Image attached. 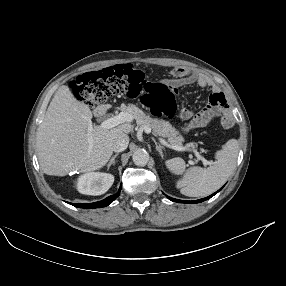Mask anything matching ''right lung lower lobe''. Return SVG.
<instances>
[{"instance_id": "98d812e1", "label": "right lung lower lobe", "mask_w": 286, "mask_h": 286, "mask_svg": "<svg viewBox=\"0 0 286 286\" xmlns=\"http://www.w3.org/2000/svg\"><path fill=\"white\" fill-rule=\"evenodd\" d=\"M120 190H121V187L119 188V191L116 194L111 195V196L107 197L106 199H104L102 201H99V202H94V203H76V204L70 203V204L75 206V207H79V208H100V207H106L119 196Z\"/></svg>"}]
</instances>
